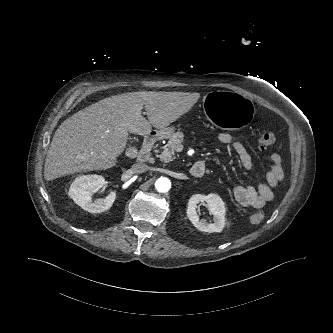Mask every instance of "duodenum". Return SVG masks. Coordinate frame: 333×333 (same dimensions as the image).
Listing matches in <instances>:
<instances>
[{"label": "duodenum", "mask_w": 333, "mask_h": 333, "mask_svg": "<svg viewBox=\"0 0 333 333\" xmlns=\"http://www.w3.org/2000/svg\"><path fill=\"white\" fill-rule=\"evenodd\" d=\"M161 137V133L159 132H150L142 145V148L137 156V161L139 163H147L151 158L152 149L157 142V140ZM205 172V165L201 162H196L192 168L191 173L194 177H202Z\"/></svg>", "instance_id": "1"}]
</instances>
